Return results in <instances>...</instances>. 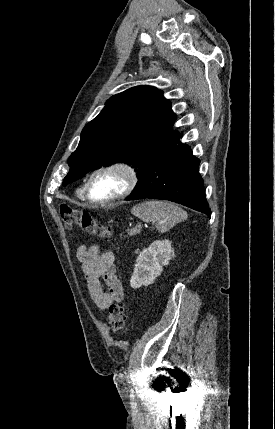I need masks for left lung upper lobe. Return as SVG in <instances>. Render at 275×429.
Wrapping results in <instances>:
<instances>
[{
	"label": "left lung upper lobe",
	"mask_w": 275,
	"mask_h": 429,
	"mask_svg": "<svg viewBox=\"0 0 275 429\" xmlns=\"http://www.w3.org/2000/svg\"><path fill=\"white\" fill-rule=\"evenodd\" d=\"M169 100L150 86H136L112 96L81 133L68 160L63 186L93 168L127 162L138 178L152 158L177 134Z\"/></svg>",
	"instance_id": "left-lung-upper-lobe-1"
}]
</instances>
